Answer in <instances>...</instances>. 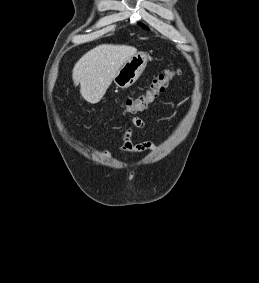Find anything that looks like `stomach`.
I'll list each match as a JSON object with an SVG mask.
<instances>
[{
    "instance_id": "stomach-1",
    "label": "stomach",
    "mask_w": 259,
    "mask_h": 283,
    "mask_svg": "<svg viewBox=\"0 0 259 283\" xmlns=\"http://www.w3.org/2000/svg\"><path fill=\"white\" fill-rule=\"evenodd\" d=\"M147 65V55L138 52L128 59L115 75L113 81L117 87L128 88L140 77Z\"/></svg>"
}]
</instances>
